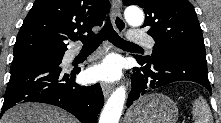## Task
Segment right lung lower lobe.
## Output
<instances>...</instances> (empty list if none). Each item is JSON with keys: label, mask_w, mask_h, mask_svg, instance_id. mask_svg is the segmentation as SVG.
<instances>
[{"label": "right lung lower lobe", "mask_w": 221, "mask_h": 123, "mask_svg": "<svg viewBox=\"0 0 221 123\" xmlns=\"http://www.w3.org/2000/svg\"><path fill=\"white\" fill-rule=\"evenodd\" d=\"M60 63L44 62L11 69L2 110L23 102L49 103L72 113L81 123H96L104 103L100 85L76 84L79 70L66 73Z\"/></svg>", "instance_id": "1"}]
</instances>
